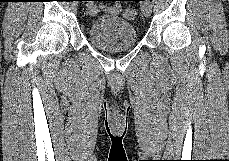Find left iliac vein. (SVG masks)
<instances>
[{
    "mask_svg": "<svg viewBox=\"0 0 229 161\" xmlns=\"http://www.w3.org/2000/svg\"><path fill=\"white\" fill-rule=\"evenodd\" d=\"M151 1L150 0H144L141 4V11L145 17H149L151 14Z\"/></svg>",
    "mask_w": 229,
    "mask_h": 161,
    "instance_id": "1",
    "label": "left iliac vein"
}]
</instances>
